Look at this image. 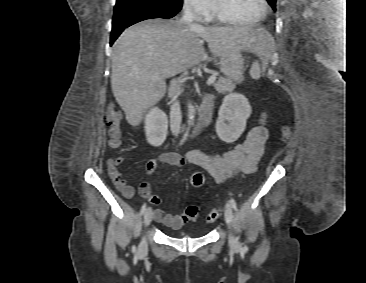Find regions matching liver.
Returning a JSON list of instances; mask_svg holds the SVG:
<instances>
[{"mask_svg":"<svg viewBox=\"0 0 366 283\" xmlns=\"http://www.w3.org/2000/svg\"><path fill=\"white\" fill-rule=\"evenodd\" d=\"M270 34L250 26L204 27L185 25L177 18L149 19L133 25L113 46L111 87L127 122L140 124L146 110L166 93L167 77L200 64L203 41L214 57L233 50L264 55Z\"/></svg>","mask_w":366,"mask_h":283,"instance_id":"liver-1","label":"liver"}]
</instances>
